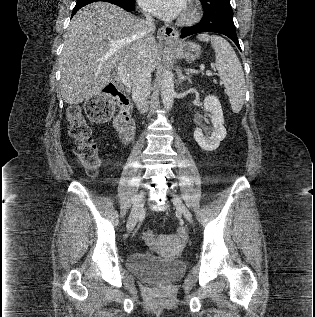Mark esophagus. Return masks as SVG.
<instances>
[{
    "instance_id": "1",
    "label": "esophagus",
    "mask_w": 315,
    "mask_h": 317,
    "mask_svg": "<svg viewBox=\"0 0 315 317\" xmlns=\"http://www.w3.org/2000/svg\"><path fill=\"white\" fill-rule=\"evenodd\" d=\"M178 37V31L174 27L169 25L162 26L157 31L158 41L165 48L172 45V43L176 41Z\"/></svg>"
}]
</instances>
